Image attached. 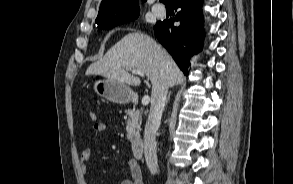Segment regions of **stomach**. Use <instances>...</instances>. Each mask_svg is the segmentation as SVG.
I'll list each match as a JSON object with an SVG mask.
<instances>
[{"mask_svg":"<svg viewBox=\"0 0 293 184\" xmlns=\"http://www.w3.org/2000/svg\"><path fill=\"white\" fill-rule=\"evenodd\" d=\"M93 90L98 96L116 104L128 103L135 96L126 83L108 78L94 81Z\"/></svg>","mask_w":293,"mask_h":184,"instance_id":"0dacf381","label":"stomach"}]
</instances>
